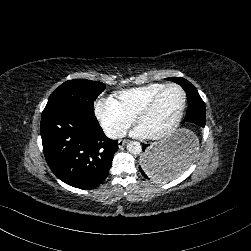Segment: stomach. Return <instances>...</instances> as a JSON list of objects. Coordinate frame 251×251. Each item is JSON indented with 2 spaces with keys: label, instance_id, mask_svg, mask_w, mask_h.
I'll list each match as a JSON object with an SVG mask.
<instances>
[{
  "label": "stomach",
  "instance_id": "stomach-1",
  "mask_svg": "<svg viewBox=\"0 0 251 251\" xmlns=\"http://www.w3.org/2000/svg\"><path fill=\"white\" fill-rule=\"evenodd\" d=\"M197 135L186 128L170 137L154 142L140 159L145 174L152 179H173L188 170L197 154Z\"/></svg>",
  "mask_w": 251,
  "mask_h": 251
}]
</instances>
